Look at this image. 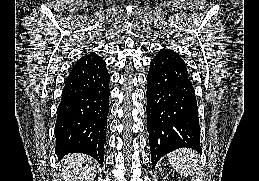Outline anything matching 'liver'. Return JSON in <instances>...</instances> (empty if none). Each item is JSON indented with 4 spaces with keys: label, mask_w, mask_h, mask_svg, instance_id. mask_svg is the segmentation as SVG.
<instances>
[{
    "label": "liver",
    "mask_w": 259,
    "mask_h": 181,
    "mask_svg": "<svg viewBox=\"0 0 259 181\" xmlns=\"http://www.w3.org/2000/svg\"><path fill=\"white\" fill-rule=\"evenodd\" d=\"M62 176L64 181H93L96 176L97 162L84 154L65 157Z\"/></svg>",
    "instance_id": "obj_1"
}]
</instances>
